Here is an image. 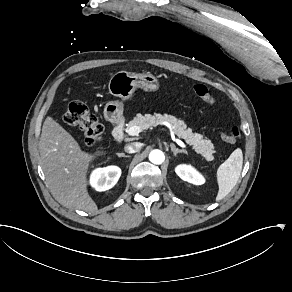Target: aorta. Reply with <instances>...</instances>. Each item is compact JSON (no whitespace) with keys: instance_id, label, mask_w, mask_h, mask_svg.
<instances>
[{"instance_id":"aorta-1","label":"aorta","mask_w":292,"mask_h":292,"mask_svg":"<svg viewBox=\"0 0 292 292\" xmlns=\"http://www.w3.org/2000/svg\"><path fill=\"white\" fill-rule=\"evenodd\" d=\"M149 160L153 164H162L165 160V156L162 151L160 150H153L149 154Z\"/></svg>"}]
</instances>
